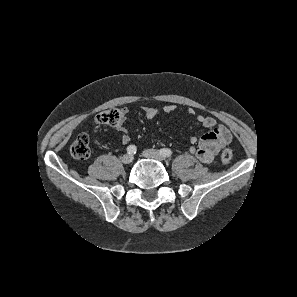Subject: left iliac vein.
<instances>
[{
    "label": "left iliac vein",
    "instance_id": "4c4485c4",
    "mask_svg": "<svg viewBox=\"0 0 297 297\" xmlns=\"http://www.w3.org/2000/svg\"><path fill=\"white\" fill-rule=\"evenodd\" d=\"M143 157L151 158L158 161H163L165 157L161 155L157 150L154 149H147L142 152Z\"/></svg>",
    "mask_w": 297,
    "mask_h": 297
}]
</instances>
